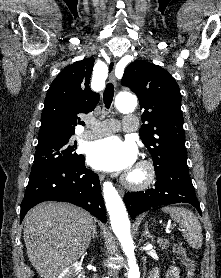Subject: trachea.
Segmentation results:
<instances>
[{"label": "trachea", "instance_id": "obj_1", "mask_svg": "<svg viewBox=\"0 0 221 278\" xmlns=\"http://www.w3.org/2000/svg\"><path fill=\"white\" fill-rule=\"evenodd\" d=\"M113 97H114V86L112 83H108L106 85V88H105V91L103 94V101H104L105 107L107 109L110 108L112 101H113Z\"/></svg>", "mask_w": 221, "mask_h": 278}]
</instances>
